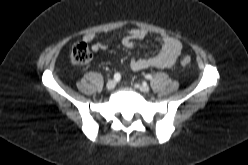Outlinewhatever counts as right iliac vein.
Listing matches in <instances>:
<instances>
[{
    "label": "right iliac vein",
    "instance_id": "right-iliac-vein-1",
    "mask_svg": "<svg viewBox=\"0 0 248 165\" xmlns=\"http://www.w3.org/2000/svg\"><path fill=\"white\" fill-rule=\"evenodd\" d=\"M115 86H116L115 80H109V81L107 82V84H106V88H107L108 90H113V89L115 88Z\"/></svg>",
    "mask_w": 248,
    "mask_h": 165
}]
</instances>
